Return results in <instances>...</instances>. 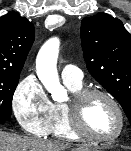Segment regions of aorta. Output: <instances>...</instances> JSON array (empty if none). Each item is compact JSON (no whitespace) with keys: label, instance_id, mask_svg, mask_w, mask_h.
<instances>
[{"label":"aorta","instance_id":"obj_1","mask_svg":"<svg viewBox=\"0 0 131 151\" xmlns=\"http://www.w3.org/2000/svg\"><path fill=\"white\" fill-rule=\"evenodd\" d=\"M58 47V41L50 39L43 45L36 59L38 78L56 100L63 92L57 72Z\"/></svg>","mask_w":131,"mask_h":151}]
</instances>
